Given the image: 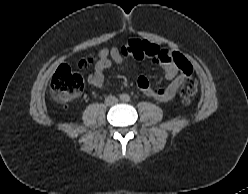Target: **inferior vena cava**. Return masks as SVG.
<instances>
[{"instance_id":"1","label":"inferior vena cava","mask_w":248,"mask_h":194,"mask_svg":"<svg viewBox=\"0 0 248 194\" xmlns=\"http://www.w3.org/2000/svg\"><path fill=\"white\" fill-rule=\"evenodd\" d=\"M118 102V99L115 96H108L105 98V104L108 106H112Z\"/></svg>"}]
</instances>
